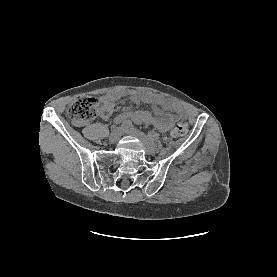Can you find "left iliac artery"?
Segmentation results:
<instances>
[{
	"instance_id": "1",
	"label": "left iliac artery",
	"mask_w": 277,
	"mask_h": 277,
	"mask_svg": "<svg viewBox=\"0 0 277 277\" xmlns=\"http://www.w3.org/2000/svg\"><path fill=\"white\" fill-rule=\"evenodd\" d=\"M148 134L152 140L157 141L159 139V134L155 131H149Z\"/></svg>"
}]
</instances>
